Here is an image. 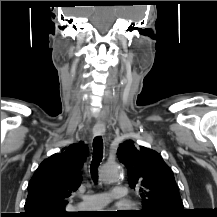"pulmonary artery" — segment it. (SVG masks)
<instances>
[{"mask_svg": "<svg viewBox=\"0 0 217 217\" xmlns=\"http://www.w3.org/2000/svg\"><path fill=\"white\" fill-rule=\"evenodd\" d=\"M127 198V189L124 186H115L110 193L86 194L78 208L85 210L101 209L111 200Z\"/></svg>", "mask_w": 217, "mask_h": 217, "instance_id": "e3ab8cb5", "label": "pulmonary artery"}]
</instances>
